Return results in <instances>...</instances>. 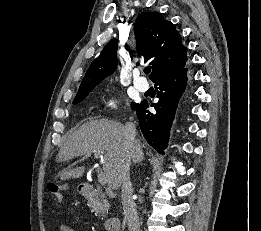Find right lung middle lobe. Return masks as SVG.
<instances>
[{"mask_svg": "<svg viewBox=\"0 0 261 231\" xmlns=\"http://www.w3.org/2000/svg\"><path fill=\"white\" fill-rule=\"evenodd\" d=\"M89 94V92H85V93H81V94H77L74 101H73V104H77L79 102H81L82 100L85 99V97ZM136 106L135 103H132L131 104V107L134 108Z\"/></svg>", "mask_w": 261, "mask_h": 231, "instance_id": "1", "label": "right lung middle lobe"}]
</instances>
